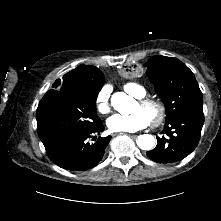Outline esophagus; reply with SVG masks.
I'll return each instance as SVG.
<instances>
[{
  "mask_svg": "<svg viewBox=\"0 0 221 221\" xmlns=\"http://www.w3.org/2000/svg\"><path fill=\"white\" fill-rule=\"evenodd\" d=\"M119 134H123V133H119ZM118 133H114V134H112V136H116V135H119ZM131 137H135L136 135H134V134H129Z\"/></svg>",
  "mask_w": 221,
  "mask_h": 221,
  "instance_id": "1",
  "label": "esophagus"
}]
</instances>
